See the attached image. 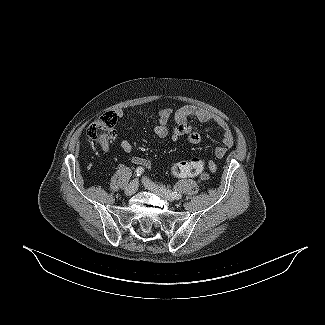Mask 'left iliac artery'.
<instances>
[{
    "instance_id": "44dca946",
    "label": "left iliac artery",
    "mask_w": 325,
    "mask_h": 325,
    "mask_svg": "<svg viewBox=\"0 0 325 325\" xmlns=\"http://www.w3.org/2000/svg\"><path fill=\"white\" fill-rule=\"evenodd\" d=\"M162 189H163V186H162ZM166 193L170 194L173 198L175 199H180L182 197V195L178 192H172L171 190H167L166 189H163Z\"/></svg>"
}]
</instances>
